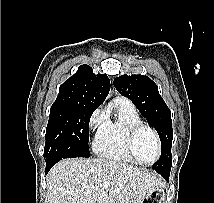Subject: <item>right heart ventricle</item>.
<instances>
[{
  "instance_id": "e07e8e85",
  "label": "right heart ventricle",
  "mask_w": 214,
  "mask_h": 203,
  "mask_svg": "<svg viewBox=\"0 0 214 203\" xmlns=\"http://www.w3.org/2000/svg\"><path fill=\"white\" fill-rule=\"evenodd\" d=\"M112 109L114 116L107 115L105 125L95 137L94 150L99 156L108 160L138 164L127 151L126 139L129 130L142 123L140 115L134 105L122 97L113 101Z\"/></svg>"
}]
</instances>
